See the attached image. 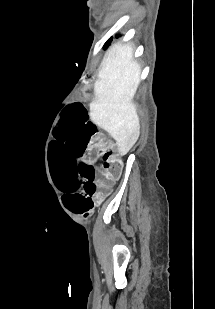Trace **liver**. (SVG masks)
Wrapping results in <instances>:
<instances>
[{
  "mask_svg": "<svg viewBox=\"0 0 215 309\" xmlns=\"http://www.w3.org/2000/svg\"><path fill=\"white\" fill-rule=\"evenodd\" d=\"M140 74L133 44L117 42L107 50L94 82L91 118L115 138L121 155H126L140 134V118L133 102Z\"/></svg>",
  "mask_w": 215,
  "mask_h": 309,
  "instance_id": "6515ba94",
  "label": "liver"
}]
</instances>
